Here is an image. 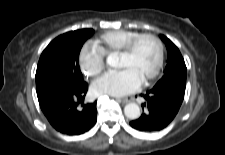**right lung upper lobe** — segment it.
Returning <instances> with one entry per match:
<instances>
[{
    "mask_svg": "<svg viewBox=\"0 0 225 155\" xmlns=\"http://www.w3.org/2000/svg\"><path fill=\"white\" fill-rule=\"evenodd\" d=\"M82 30L87 31V30H92V29H82Z\"/></svg>",
    "mask_w": 225,
    "mask_h": 155,
    "instance_id": "right-lung-upper-lobe-1",
    "label": "right lung upper lobe"
}]
</instances>
